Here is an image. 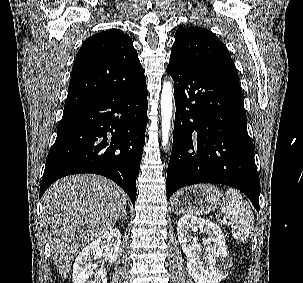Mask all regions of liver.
I'll list each match as a JSON object with an SVG mask.
<instances>
[{
  "label": "liver",
  "mask_w": 303,
  "mask_h": 283,
  "mask_svg": "<svg viewBox=\"0 0 303 283\" xmlns=\"http://www.w3.org/2000/svg\"><path fill=\"white\" fill-rule=\"evenodd\" d=\"M43 226L57 270L67 278L87 244L109 232L126 209V194L102 176L64 177L43 195Z\"/></svg>",
  "instance_id": "1"
}]
</instances>
